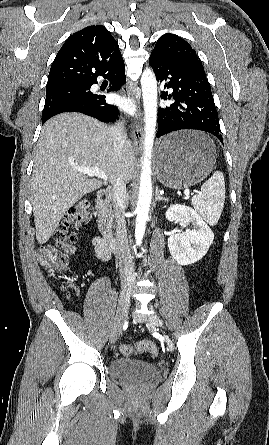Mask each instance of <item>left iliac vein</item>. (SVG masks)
Masks as SVG:
<instances>
[{
    "label": "left iliac vein",
    "instance_id": "4c4485c4",
    "mask_svg": "<svg viewBox=\"0 0 269 445\" xmlns=\"http://www.w3.org/2000/svg\"><path fill=\"white\" fill-rule=\"evenodd\" d=\"M150 309L153 310V307L150 305ZM148 323L150 325H154L156 327H159L161 325L159 318L156 314H152L148 320Z\"/></svg>",
    "mask_w": 269,
    "mask_h": 445
}]
</instances>
